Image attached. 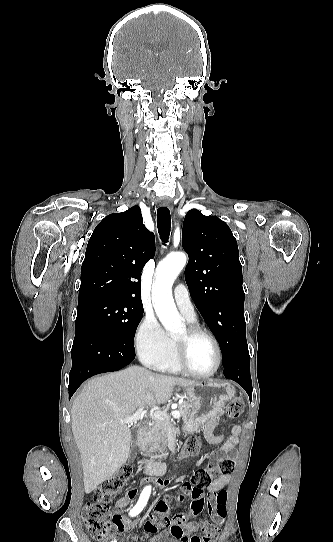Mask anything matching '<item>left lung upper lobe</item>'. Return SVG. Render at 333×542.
Segmentation results:
<instances>
[{
    "mask_svg": "<svg viewBox=\"0 0 333 542\" xmlns=\"http://www.w3.org/2000/svg\"><path fill=\"white\" fill-rule=\"evenodd\" d=\"M182 245L189 256L190 295L219 342L225 367L248 347L237 241L224 221L192 209L184 219Z\"/></svg>",
    "mask_w": 333,
    "mask_h": 542,
    "instance_id": "5c2ea615",
    "label": "left lung upper lobe"
}]
</instances>
